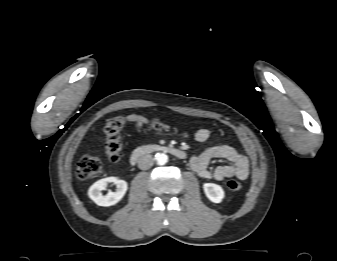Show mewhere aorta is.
Returning <instances> with one entry per match:
<instances>
[{"label": "aorta", "instance_id": "aorta-1", "mask_svg": "<svg viewBox=\"0 0 337 261\" xmlns=\"http://www.w3.org/2000/svg\"><path fill=\"white\" fill-rule=\"evenodd\" d=\"M155 159L158 165H165L168 162V156L165 153L156 154Z\"/></svg>", "mask_w": 337, "mask_h": 261}]
</instances>
